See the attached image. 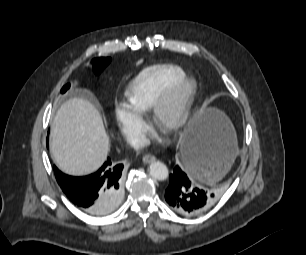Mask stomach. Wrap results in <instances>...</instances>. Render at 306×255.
<instances>
[{"instance_id": "0dacf381", "label": "stomach", "mask_w": 306, "mask_h": 255, "mask_svg": "<svg viewBox=\"0 0 306 255\" xmlns=\"http://www.w3.org/2000/svg\"><path fill=\"white\" fill-rule=\"evenodd\" d=\"M180 143L183 155L191 143L219 153L212 177L203 176L198 172L191 173L195 179L206 183L221 179L230 169L237 153L233 125L224 113L215 108L203 109L196 113L183 132ZM227 147L230 148L228 152Z\"/></svg>"}]
</instances>
